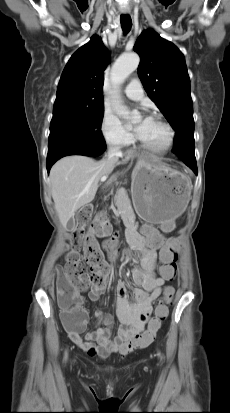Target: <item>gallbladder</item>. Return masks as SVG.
I'll return each mask as SVG.
<instances>
[{"instance_id": "bac80fb5", "label": "gallbladder", "mask_w": 230, "mask_h": 413, "mask_svg": "<svg viewBox=\"0 0 230 413\" xmlns=\"http://www.w3.org/2000/svg\"><path fill=\"white\" fill-rule=\"evenodd\" d=\"M67 228H68L69 230H73V229L75 228V222H73L72 220H70V221L67 223Z\"/></svg>"}]
</instances>
